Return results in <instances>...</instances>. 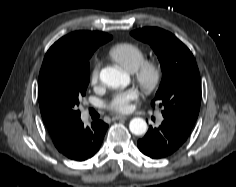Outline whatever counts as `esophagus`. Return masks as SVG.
Segmentation results:
<instances>
[{
	"mask_svg": "<svg viewBox=\"0 0 236 187\" xmlns=\"http://www.w3.org/2000/svg\"><path fill=\"white\" fill-rule=\"evenodd\" d=\"M113 120H126L127 116L124 115H115L112 117Z\"/></svg>",
	"mask_w": 236,
	"mask_h": 187,
	"instance_id": "esophagus-1",
	"label": "esophagus"
}]
</instances>
